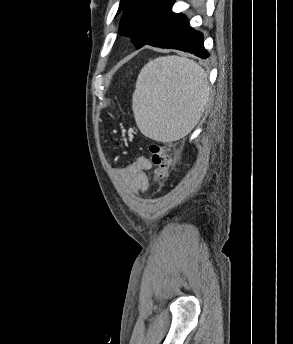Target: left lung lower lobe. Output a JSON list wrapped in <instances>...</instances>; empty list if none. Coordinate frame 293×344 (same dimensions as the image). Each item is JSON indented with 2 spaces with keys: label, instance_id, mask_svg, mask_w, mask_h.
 I'll list each match as a JSON object with an SVG mask.
<instances>
[{
  "label": "left lung lower lobe",
  "instance_id": "1",
  "mask_svg": "<svg viewBox=\"0 0 293 344\" xmlns=\"http://www.w3.org/2000/svg\"><path fill=\"white\" fill-rule=\"evenodd\" d=\"M153 46L189 52L202 59L209 57L204 48L202 33L191 28L187 18L167 41Z\"/></svg>",
  "mask_w": 293,
  "mask_h": 344
}]
</instances>
